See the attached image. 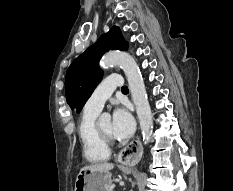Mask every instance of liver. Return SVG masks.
I'll list each match as a JSON object with an SVG mask.
<instances>
[{"label":"liver","mask_w":233,"mask_h":191,"mask_svg":"<svg viewBox=\"0 0 233 191\" xmlns=\"http://www.w3.org/2000/svg\"><path fill=\"white\" fill-rule=\"evenodd\" d=\"M113 168H114V164L104 162L99 164H93L90 166H85L81 170L109 172V170H112Z\"/></svg>","instance_id":"obj_1"}]
</instances>
